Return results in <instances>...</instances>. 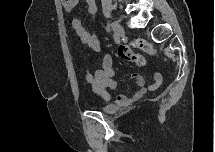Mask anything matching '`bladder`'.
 Segmentation results:
<instances>
[{
    "label": "bladder",
    "instance_id": "31cf9c89",
    "mask_svg": "<svg viewBox=\"0 0 215 152\" xmlns=\"http://www.w3.org/2000/svg\"><path fill=\"white\" fill-rule=\"evenodd\" d=\"M99 110L104 113H110L115 110V106L114 105H103V106L99 107Z\"/></svg>",
    "mask_w": 215,
    "mask_h": 152
}]
</instances>
